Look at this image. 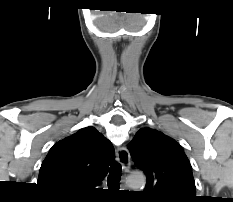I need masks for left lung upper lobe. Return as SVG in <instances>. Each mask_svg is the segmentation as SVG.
Segmentation results:
<instances>
[{"label":"left lung upper lobe","instance_id":"left-lung-upper-lobe-1","mask_svg":"<svg viewBox=\"0 0 233 202\" xmlns=\"http://www.w3.org/2000/svg\"><path fill=\"white\" fill-rule=\"evenodd\" d=\"M128 149L135 165L146 174L143 191L151 202H195L191 164L172 138L151 129H140Z\"/></svg>","mask_w":233,"mask_h":202}]
</instances>
